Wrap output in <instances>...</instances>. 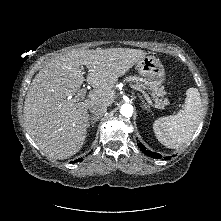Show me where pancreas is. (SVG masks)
Segmentation results:
<instances>
[{"label":"pancreas","mask_w":221,"mask_h":221,"mask_svg":"<svg viewBox=\"0 0 221 221\" xmlns=\"http://www.w3.org/2000/svg\"><path fill=\"white\" fill-rule=\"evenodd\" d=\"M124 82L127 83H135V86L139 87L140 89L147 90L153 97V100L156 103V106L161 108L164 107L168 103V99H159L158 97H162L165 92L158 87V83L155 81H148L143 78H139L136 76H129L124 79Z\"/></svg>","instance_id":"pancreas-1"}]
</instances>
